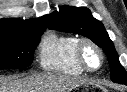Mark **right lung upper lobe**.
Segmentation results:
<instances>
[{
	"label": "right lung upper lobe",
	"mask_w": 127,
	"mask_h": 92,
	"mask_svg": "<svg viewBox=\"0 0 127 92\" xmlns=\"http://www.w3.org/2000/svg\"><path fill=\"white\" fill-rule=\"evenodd\" d=\"M47 15L31 19L20 20L15 18L0 19V35H23L35 30L46 29L47 27Z\"/></svg>",
	"instance_id": "obj_1"
}]
</instances>
